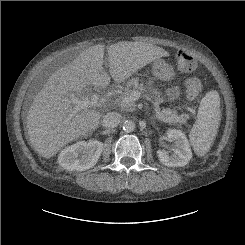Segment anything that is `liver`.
<instances>
[{"label": "liver", "instance_id": "liver-1", "mask_svg": "<svg viewBox=\"0 0 245 245\" xmlns=\"http://www.w3.org/2000/svg\"><path fill=\"white\" fill-rule=\"evenodd\" d=\"M105 46L97 44L82 51L70 64L56 70L35 96L27 115V130L32 148L51 158L71 141L93 132L101 113L83 109L71 119L70 94H79L89 85L105 88L110 76L104 71ZM109 72L121 83L152 61L168 56L163 48L144 42L121 41L107 47Z\"/></svg>", "mask_w": 245, "mask_h": 245}]
</instances>
